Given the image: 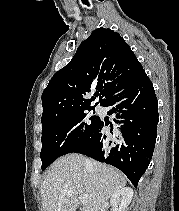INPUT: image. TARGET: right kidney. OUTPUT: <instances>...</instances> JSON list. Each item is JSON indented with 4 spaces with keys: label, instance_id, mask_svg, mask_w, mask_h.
<instances>
[{
    "label": "right kidney",
    "instance_id": "right-kidney-1",
    "mask_svg": "<svg viewBox=\"0 0 179 211\" xmlns=\"http://www.w3.org/2000/svg\"><path fill=\"white\" fill-rule=\"evenodd\" d=\"M133 190L129 187H124L115 192L110 198L112 211H125L133 197Z\"/></svg>",
    "mask_w": 179,
    "mask_h": 211
}]
</instances>
